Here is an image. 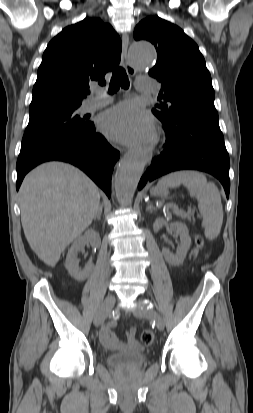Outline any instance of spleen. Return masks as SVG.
<instances>
[{
    "instance_id": "spleen-1",
    "label": "spleen",
    "mask_w": 253,
    "mask_h": 413,
    "mask_svg": "<svg viewBox=\"0 0 253 413\" xmlns=\"http://www.w3.org/2000/svg\"><path fill=\"white\" fill-rule=\"evenodd\" d=\"M181 184L189 190L190 196L198 201L205 237L209 240L215 239L223 223V208L218 188L214 183L208 182L204 174L193 170L170 173L162 177L157 186L176 188Z\"/></svg>"
}]
</instances>
